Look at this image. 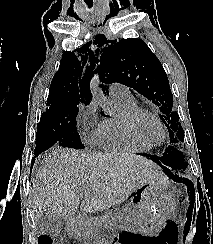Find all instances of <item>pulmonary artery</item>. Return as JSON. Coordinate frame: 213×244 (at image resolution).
<instances>
[{"mask_svg": "<svg viewBox=\"0 0 213 244\" xmlns=\"http://www.w3.org/2000/svg\"><path fill=\"white\" fill-rule=\"evenodd\" d=\"M109 93L112 98L131 99L133 98L130 90L120 83H112L109 86Z\"/></svg>", "mask_w": 213, "mask_h": 244, "instance_id": "obj_1", "label": "pulmonary artery"}]
</instances>
